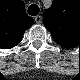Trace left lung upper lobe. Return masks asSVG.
I'll list each match as a JSON object with an SVG mask.
<instances>
[{
    "instance_id": "1",
    "label": "left lung upper lobe",
    "mask_w": 80,
    "mask_h": 80,
    "mask_svg": "<svg viewBox=\"0 0 80 80\" xmlns=\"http://www.w3.org/2000/svg\"><path fill=\"white\" fill-rule=\"evenodd\" d=\"M69 4V0H53L51 8L46 10L43 17L46 28L60 44L74 43L73 35L77 32Z\"/></svg>"
}]
</instances>
